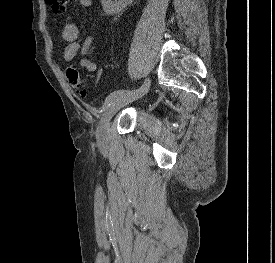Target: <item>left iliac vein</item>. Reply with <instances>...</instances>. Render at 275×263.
<instances>
[{
  "label": "left iliac vein",
  "mask_w": 275,
  "mask_h": 263,
  "mask_svg": "<svg viewBox=\"0 0 275 263\" xmlns=\"http://www.w3.org/2000/svg\"><path fill=\"white\" fill-rule=\"evenodd\" d=\"M147 91L148 89L142 93H133V94L124 95L122 97L115 99L108 106L103 116V119L97 129L96 136H97V142L99 144H106L108 142L109 131H110V121L113 118V116L124 106L144 96Z\"/></svg>",
  "instance_id": "obj_1"
}]
</instances>
